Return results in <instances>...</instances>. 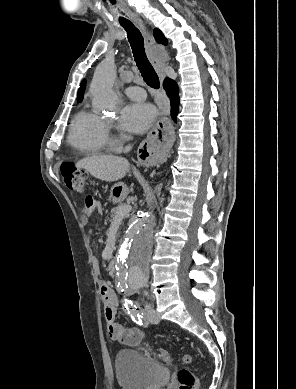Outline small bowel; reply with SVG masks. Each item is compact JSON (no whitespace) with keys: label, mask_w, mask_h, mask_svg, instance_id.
<instances>
[{"label":"small bowel","mask_w":296,"mask_h":389,"mask_svg":"<svg viewBox=\"0 0 296 389\" xmlns=\"http://www.w3.org/2000/svg\"><path fill=\"white\" fill-rule=\"evenodd\" d=\"M94 211L102 212L101 203L91 196H86L81 213V220L84 225L88 224ZM100 295L104 305V316L110 338L123 345H138L144 338V332L137 327L126 328L116 321L118 298L114 290L107 283H103L100 287Z\"/></svg>","instance_id":"small-bowel-1"}]
</instances>
